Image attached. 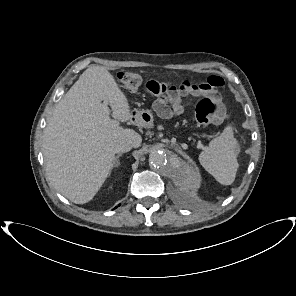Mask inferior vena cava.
Masks as SVG:
<instances>
[{
    "label": "inferior vena cava",
    "mask_w": 296,
    "mask_h": 296,
    "mask_svg": "<svg viewBox=\"0 0 296 296\" xmlns=\"http://www.w3.org/2000/svg\"><path fill=\"white\" fill-rule=\"evenodd\" d=\"M134 147L132 141L130 140H120L115 144V152L125 153L130 151Z\"/></svg>",
    "instance_id": "602c4592"
}]
</instances>
